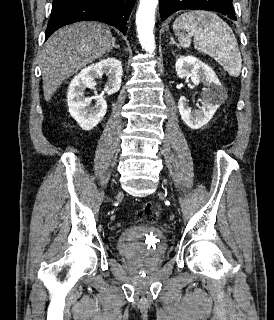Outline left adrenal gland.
I'll return each mask as SVG.
<instances>
[{
  "label": "left adrenal gland",
  "instance_id": "1",
  "mask_svg": "<svg viewBox=\"0 0 274 320\" xmlns=\"http://www.w3.org/2000/svg\"><path fill=\"white\" fill-rule=\"evenodd\" d=\"M170 44H175V46H177V48H179V50H181L179 44H176V42H174L173 38H170Z\"/></svg>",
  "mask_w": 274,
  "mask_h": 320
}]
</instances>
